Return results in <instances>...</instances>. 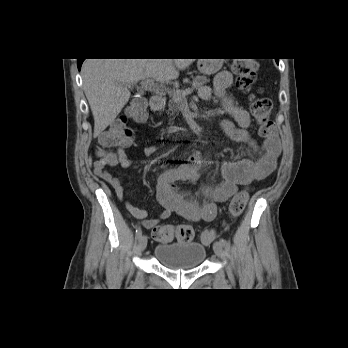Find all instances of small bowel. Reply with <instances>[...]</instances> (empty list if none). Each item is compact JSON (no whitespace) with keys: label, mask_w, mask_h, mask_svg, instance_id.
<instances>
[{"label":"small bowel","mask_w":348,"mask_h":348,"mask_svg":"<svg viewBox=\"0 0 348 348\" xmlns=\"http://www.w3.org/2000/svg\"><path fill=\"white\" fill-rule=\"evenodd\" d=\"M233 75L229 71L220 72L214 81L215 95L218 97L222 109L231 117V120L219 121L221 131L233 141L248 145L252 150L259 151L260 146L250 136L248 128L251 119L246 110L237 106L228 93L232 84ZM199 97L210 100L212 89L203 86L199 89ZM155 145L144 148L146 155H152L156 151ZM281 152L280 140L277 135L267 138L263 145V153L257 162L240 161L225 163L221 170L223 181L216 186L202 184L199 192L203 198L198 201L184 196L177 187V183L198 184L202 176L204 162L198 153H194L190 162L168 168L162 173L156 182V198L162 206L159 218L150 219L145 209L132 205L125 196V189L120 177L113 176L109 170L110 165H119L122 168H131V160L121 151L114 163L95 162L94 174L110 184L120 200H124L129 214L139 220L145 229H152L161 220L168 219L176 214L192 222L212 221L217 214L218 204L226 203L237 191L238 187H247L252 182L262 180L270 176L277 167L278 157Z\"/></svg>","instance_id":"c3829d8e"}]
</instances>
